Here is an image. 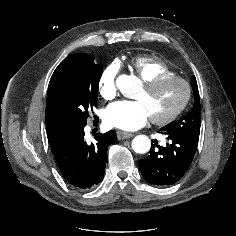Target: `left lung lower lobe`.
Listing matches in <instances>:
<instances>
[{"label":"left lung lower lobe","mask_w":236,"mask_h":236,"mask_svg":"<svg viewBox=\"0 0 236 236\" xmlns=\"http://www.w3.org/2000/svg\"><path fill=\"white\" fill-rule=\"evenodd\" d=\"M160 133L167 136L169 143L166 147H161L157 140H152L150 155L139 160V168L148 183L168 186L179 181L188 170L199 138L164 127L160 129Z\"/></svg>","instance_id":"obj_1"}]
</instances>
